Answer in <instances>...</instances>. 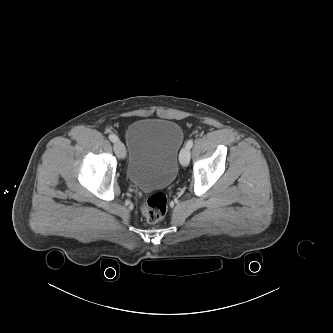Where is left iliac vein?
Instances as JSON below:
<instances>
[{
    "mask_svg": "<svg viewBox=\"0 0 333 333\" xmlns=\"http://www.w3.org/2000/svg\"><path fill=\"white\" fill-rule=\"evenodd\" d=\"M190 156V149L187 147H183L179 154V161L182 166H187L189 164Z\"/></svg>",
    "mask_w": 333,
    "mask_h": 333,
    "instance_id": "4c4485c4",
    "label": "left iliac vein"
}]
</instances>
